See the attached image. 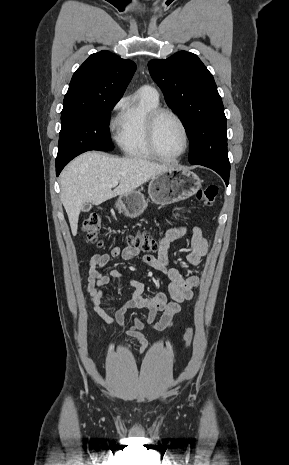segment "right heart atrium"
<instances>
[{"label": "right heart atrium", "instance_id": "right-heart-atrium-1", "mask_svg": "<svg viewBox=\"0 0 289 465\" xmlns=\"http://www.w3.org/2000/svg\"><path fill=\"white\" fill-rule=\"evenodd\" d=\"M127 103V98H122L120 99L116 105L114 106V110H118V109H121L125 106V104Z\"/></svg>", "mask_w": 289, "mask_h": 465}]
</instances>
